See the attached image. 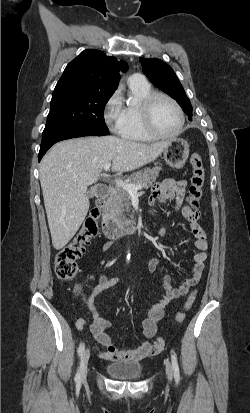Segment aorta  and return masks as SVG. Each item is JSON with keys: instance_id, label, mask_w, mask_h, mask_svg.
I'll return each instance as SVG.
<instances>
[{"instance_id": "1", "label": "aorta", "mask_w": 250, "mask_h": 413, "mask_svg": "<svg viewBox=\"0 0 250 413\" xmlns=\"http://www.w3.org/2000/svg\"><path fill=\"white\" fill-rule=\"evenodd\" d=\"M127 259H128V260L130 259V254L127 255Z\"/></svg>"}]
</instances>
